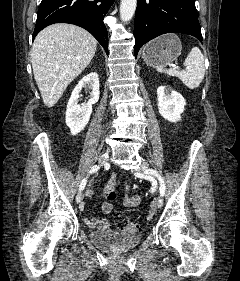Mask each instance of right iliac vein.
Returning a JSON list of instances; mask_svg holds the SVG:
<instances>
[{
  "label": "right iliac vein",
  "mask_w": 240,
  "mask_h": 281,
  "mask_svg": "<svg viewBox=\"0 0 240 281\" xmlns=\"http://www.w3.org/2000/svg\"><path fill=\"white\" fill-rule=\"evenodd\" d=\"M108 159H109V155L107 153L102 154L99 158L98 163L100 165H103L108 161ZM83 197H84V193L80 191L76 196V202L80 203L83 200Z\"/></svg>",
  "instance_id": "1"
}]
</instances>
